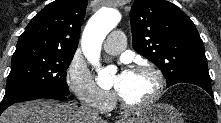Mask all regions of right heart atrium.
Segmentation results:
<instances>
[{"label":"right heart atrium","instance_id":"1","mask_svg":"<svg viewBox=\"0 0 221 123\" xmlns=\"http://www.w3.org/2000/svg\"><path fill=\"white\" fill-rule=\"evenodd\" d=\"M66 82L83 104L102 113L108 112L113 107V94L100 88L93 80L87 67L80 61L72 60L67 69Z\"/></svg>","mask_w":221,"mask_h":123}]
</instances>
